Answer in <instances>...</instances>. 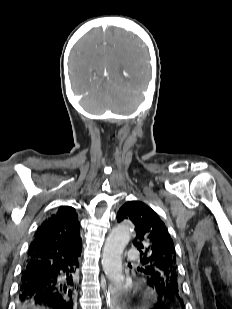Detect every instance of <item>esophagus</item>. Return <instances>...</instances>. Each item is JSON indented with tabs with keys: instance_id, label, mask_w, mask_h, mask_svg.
Instances as JSON below:
<instances>
[{
	"instance_id": "esophagus-1",
	"label": "esophagus",
	"mask_w": 232,
	"mask_h": 309,
	"mask_svg": "<svg viewBox=\"0 0 232 309\" xmlns=\"http://www.w3.org/2000/svg\"><path fill=\"white\" fill-rule=\"evenodd\" d=\"M106 304L111 309H122L118 302V293L115 287L108 284L105 290Z\"/></svg>"
}]
</instances>
